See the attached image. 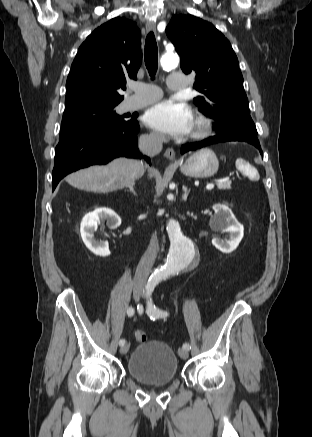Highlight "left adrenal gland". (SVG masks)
<instances>
[{
	"label": "left adrenal gland",
	"mask_w": 312,
	"mask_h": 437,
	"mask_svg": "<svg viewBox=\"0 0 312 437\" xmlns=\"http://www.w3.org/2000/svg\"><path fill=\"white\" fill-rule=\"evenodd\" d=\"M183 196H182V200L187 201V197L189 195L190 189L188 190L186 186H183Z\"/></svg>",
	"instance_id": "obj_1"
}]
</instances>
